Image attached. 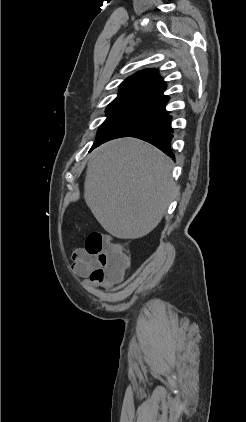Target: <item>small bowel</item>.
Returning <instances> with one entry per match:
<instances>
[{
  "label": "small bowel",
  "instance_id": "obj_1",
  "mask_svg": "<svg viewBox=\"0 0 246 422\" xmlns=\"http://www.w3.org/2000/svg\"><path fill=\"white\" fill-rule=\"evenodd\" d=\"M72 260V270L75 274L83 278L82 281L85 286L102 288L109 291L122 278V275L114 279L100 280L94 278L92 273L97 268V260L96 257L90 255L85 248H76L72 253Z\"/></svg>",
  "mask_w": 246,
  "mask_h": 422
}]
</instances>
